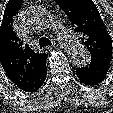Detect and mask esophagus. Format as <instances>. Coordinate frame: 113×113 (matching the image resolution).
Here are the masks:
<instances>
[{"instance_id": "esophagus-1", "label": "esophagus", "mask_w": 113, "mask_h": 113, "mask_svg": "<svg viewBox=\"0 0 113 113\" xmlns=\"http://www.w3.org/2000/svg\"><path fill=\"white\" fill-rule=\"evenodd\" d=\"M53 46L56 48H63L64 44L60 39H54Z\"/></svg>"}]
</instances>
